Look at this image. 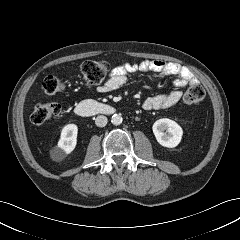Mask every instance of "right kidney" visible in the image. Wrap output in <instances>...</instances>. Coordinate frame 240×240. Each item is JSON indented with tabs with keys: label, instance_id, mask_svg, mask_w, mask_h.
<instances>
[{
	"label": "right kidney",
	"instance_id": "ca27d5eb",
	"mask_svg": "<svg viewBox=\"0 0 240 240\" xmlns=\"http://www.w3.org/2000/svg\"><path fill=\"white\" fill-rule=\"evenodd\" d=\"M78 127L75 124L64 126L57 144L56 151L60 154H70L77 144Z\"/></svg>",
	"mask_w": 240,
	"mask_h": 240
}]
</instances>
